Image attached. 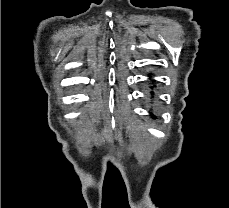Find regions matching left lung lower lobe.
Segmentation results:
<instances>
[{"mask_svg":"<svg viewBox=\"0 0 229 208\" xmlns=\"http://www.w3.org/2000/svg\"><path fill=\"white\" fill-rule=\"evenodd\" d=\"M150 83L153 84V85L151 86V88L154 89V88L156 87V81L152 80ZM151 93L153 94L154 92L152 91ZM151 116H152V118H156V116L153 115L152 113H151Z\"/></svg>","mask_w":229,"mask_h":208,"instance_id":"left-lung-lower-lobe-1","label":"left lung lower lobe"}]
</instances>
